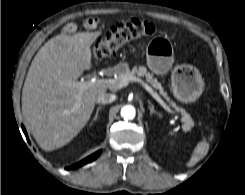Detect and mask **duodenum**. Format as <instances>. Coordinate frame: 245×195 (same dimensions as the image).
<instances>
[{"label": "duodenum", "mask_w": 245, "mask_h": 195, "mask_svg": "<svg viewBox=\"0 0 245 195\" xmlns=\"http://www.w3.org/2000/svg\"><path fill=\"white\" fill-rule=\"evenodd\" d=\"M115 73V68L113 67H108L104 70V74L106 76H112Z\"/></svg>", "instance_id": "1"}]
</instances>
